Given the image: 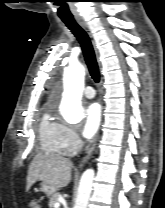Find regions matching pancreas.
<instances>
[{
  "mask_svg": "<svg viewBox=\"0 0 165 208\" xmlns=\"http://www.w3.org/2000/svg\"><path fill=\"white\" fill-rule=\"evenodd\" d=\"M59 193H54L49 200V207L54 208V205L58 203Z\"/></svg>",
  "mask_w": 165,
  "mask_h": 208,
  "instance_id": "pancreas-1",
  "label": "pancreas"
}]
</instances>
